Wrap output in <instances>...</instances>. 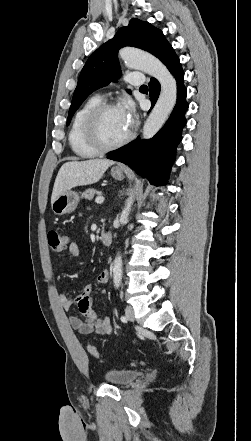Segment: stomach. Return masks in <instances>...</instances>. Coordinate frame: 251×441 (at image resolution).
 <instances>
[{
	"label": "stomach",
	"instance_id": "0dacf381",
	"mask_svg": "<svg viewBox=\"0 0 251 441\" xmlns=\"http://www.w3.org/2000/svg\"><path fill=\"white\" fill-rule=\"evenodd\" d=\"M111 175L116 180L124 178L123 170L117 167L111 169ZM78 203L79 195L75 191L68 190L51 202V209L56 215L69 214L76 209Z\"/></svg>",
	"mask_w": 251,
	"mask_h": 441
}]
</instances>
